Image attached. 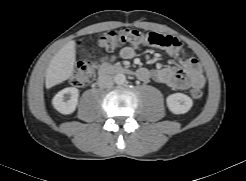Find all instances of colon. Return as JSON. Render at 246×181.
Returning <instances> with one entry per match:
<instances>
[{
	"label": "colon",
	"instance_id": "colon-1",
	"mask_svg": "<svg viewBox=\"0 0 246 181\" xmlns=\"http://www.w3.org/2000/svg\"><path fill=\"white\" fill-rule=\"evenodd\" d=\"M179 40L173 36L159 33H144L137 29L126 28L110 30L98 36L96 45L104 50L111 51L116 48L131 45L142 47L146 44L160 48H174L179 45ZM95 64L91 61L79 62L74 70L71 83L76 87L88 84L94 76ZM204 91L200 87L190 90V96L197 100L202 98Z\"/></svg>",
	"mask_w": 246,
	"mask_h": 181
}]
</instances>
